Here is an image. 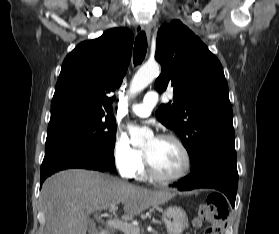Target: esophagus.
<instances>
[{
  "label": "esophagus",
  "instance_id": "obj_1",
  "mask_svg": "<svg viewBox=\"0 0 279 234\" xmlns=\"http://www.w3.org/2000/svg\"><path fill=\"white\" fill-rule=\"evenodd\" d=\"M140 29L143 30L146 33L148 39H150L151 25L149 23L142 24L140 25Z\"/></svg>",
  "mask_w": 279,
  "mask_h": 234
}]
</instances>
